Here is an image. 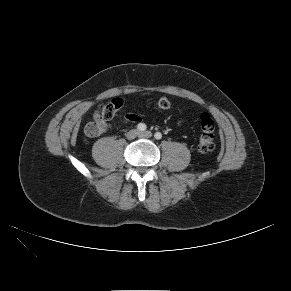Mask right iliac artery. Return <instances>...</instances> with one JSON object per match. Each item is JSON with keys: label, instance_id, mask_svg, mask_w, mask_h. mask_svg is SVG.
Wrapping results in <instances>:
<instances>
[{"label": "right iliac artery", "instance_id": "right-iliac-artery-1", "mask_svg": "<svg viewBox=\"0 0 291 291\" xmlns=\"http://www.w3.org/2000/svg\"><path fill=\"white\" fill-rule=\"evenodd\" d=\"M146 125L144 124V123H139L138 125H137V129L139 130V131H145L146 130Z\"/></svg>", "mask_w": 291, "mask_h": 291}]
</instances>
